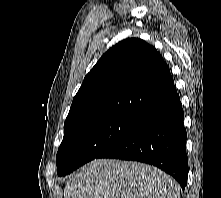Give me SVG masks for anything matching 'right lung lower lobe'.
<instances>
[{
	"label": "right lung lower lobe",
	"instance_id": "98d812e1",
	"mask_svg": "<svg viewBox=\"0 0 221 198\" xmlns=\"http://www.w3.org/2000/svg\"><path fill=\"white\" fill-rule=\"evenodd\" d=\"M184 112L175 92L149 113L123 139L97 158L131 160L154 165L174 177L182 189L187 185V134Z\"/></svg>",
	"mask_w": 221,
	"mask_h": 198
}]
</instances>
